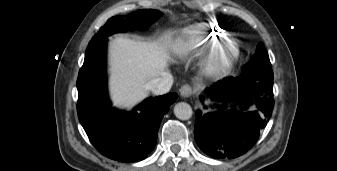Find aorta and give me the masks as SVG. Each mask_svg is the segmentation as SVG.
<instances>
[{
	"instance_id": "1",
	"label": "aorta",
	"mask_w": 337,
	"mask_h": 171,
	"mask_svg": "<svg viewBox=\"0 0 337 171\" xmlns=\"http://www.w3.org/2000/svg\"><path fill=\"white\" fill-rule=\"evenodd\" d=\"M174 114L180 120H189L193 111L191 106L185 102H179L174 106Z\"/></svg>"
}]
</instances>
